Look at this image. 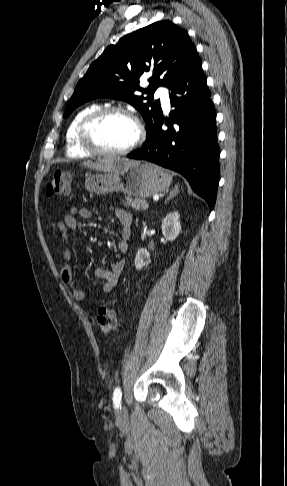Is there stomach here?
I'll use <instances>...</instances> for the list:
<instances>
[{
  "label": "stomach",
  "mask_w": 287,
  "mask_h": 486,
  "mask_svg": "<svg viewBox=\"0 0 287 486\" xmlns=\"http://www.w3.org/2000/svg\"><path fill=\"white\" fill-rule=\"evenodd\" d=\"M171 176L162 168L134 162L123 165L115 172L94 174L85 180L89 192L108 194L123 192L136 198H147L168 189Z\"/></svg>",
  "instance_id": "0dacf381"
}]
</instances>
